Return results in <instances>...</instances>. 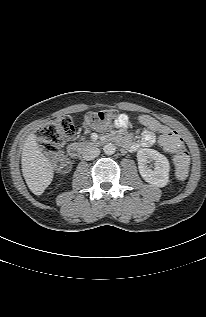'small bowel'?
Returning a JSON list of instances; mask_svg holds the SVG:
<instances>
[{
    "mask_svg": "<svg viewBox=\"0 0 206 317\" xmlns=\"http://www.w3.org/2000/svg\"><path fill=\"white\" fill-rule=\"evenodd\" d=\"M138 122L147 128L141 135V138L134 141L131 136H125L120 138V142L129 150L135 151L139 148L150 147L154 145L156 141V134L159 135V141L167 134L174 132L168 126L161 123L154 117L146 114H142L138 117ZM116 127L119 129H125L129 125V118L126 114L119 115L116 123Z\"/></svg>",
    "mask_w": 206,
    "mask_h": 317,
    "instance_id": "small-bowel-1",
    "label": "small bowel"
}]
</instances>
